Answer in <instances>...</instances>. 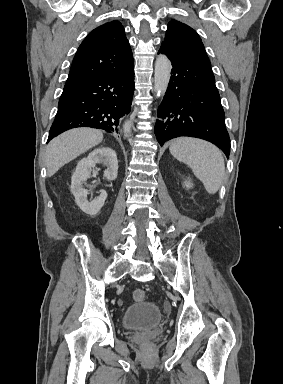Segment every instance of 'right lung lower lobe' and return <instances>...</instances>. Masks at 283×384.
<instances>
[{"label": "right lung lower lobe", "instance_id": "right-lung-lower-lobe-1", "mask_svg": "<svg viewBox=\"0 0 283 384\" xmlns=\"http://www.w3.org/2000/svg\"><path fill=\"white\" fill-rule=\"evenodd\" d=\"M134 65L117 73L88 79L63 91L48 141L75 127H92L117 134L131 110Z\"/></svg>", "mask_w": 283, "mask_h": 384}]
</instances>
